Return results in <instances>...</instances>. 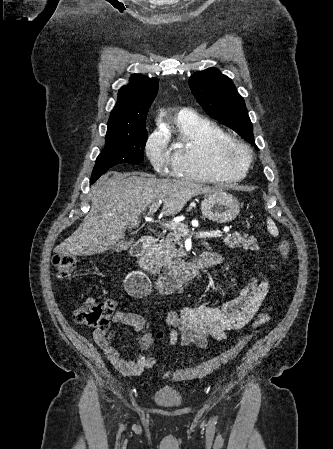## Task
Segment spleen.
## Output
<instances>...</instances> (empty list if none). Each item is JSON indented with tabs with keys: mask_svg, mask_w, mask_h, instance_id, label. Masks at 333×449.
<instances>
[{
	"mask_svg": "<svg viewBox=\"0 0 333 449\" xmlns=\"http://www.w3.org/2000/svg\"><path fill=\"white\" fill-rule=\"evenodd\" d=\"M267 225H268V229L271 232V234H273V235L278 234V229L272 219L268 218Z\"/></svg>",
	"mask_w": 333,
	"mask_h": 449,
	"instance_id": "spleen-1",
	"label": "spleen"
}]
</instances>
